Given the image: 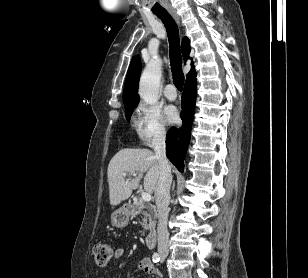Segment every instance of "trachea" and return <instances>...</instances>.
Segmentation results:
<instances>
[{
	"label": "trachea",
	"instance_id": "trachea-1",
	"mask_svg": "<svg viewBox=\"0 0 308 278\" xmlns=\"http://www.w3.org/2000/svg\"><path fill=\"white\" fill-rule=\"evenodd\" d=\"M155 15L162 20L167 30L173 83L178 88V90L181 91L184 85V74L182 72V56L180 51L178 26L175 20L167 11L155 13Z\"/></svg>",
	"mask_w": 308,
	"mask_h": 278
}]
</instances>
